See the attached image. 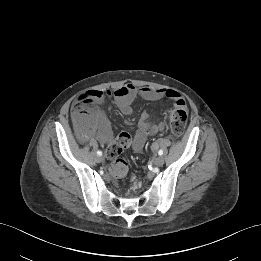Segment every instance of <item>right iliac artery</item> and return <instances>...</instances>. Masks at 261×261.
Masks as SVG:
<instances>
[{"mask_svg": "<svg viewBox=\"0 0 261 261\" xmlns=\"http://www.w3.org/2000/svg\"><path fill=\"white\" fill-rule=\"evenodd\" d=\"M97 154H98L99 156H101V155H102V152H101L100 150H98V151H97Z\"/></svg>", "mask_w": 261, "mask_h": 261, "instance_id": "obj_1", "label": "right iliac artery"}]
</instances>
